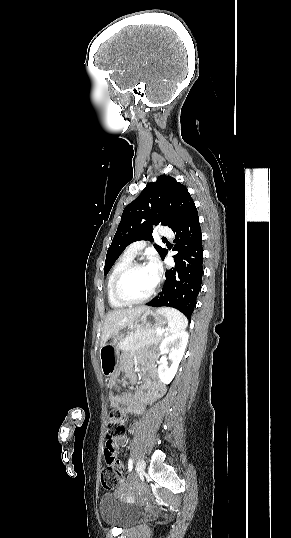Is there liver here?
Segmentation results:
<instances>
[{
    "label": "liver",
    "instance_id": "liver-1",
    "mask_svg": "<svg viewBox=\"0 0 291 538\" xmlns=\"http://www.w3.org/2000/svg\"><path fill=\"white\" fill-rule=\"evenodd\" d=\"M148 309L149 307L147 306H139L109 311L103 323L100 346H104L109 338L120 330L126 327L130 328L141 314Z\"/></svg>",
    "mask_w": 291,
    "mask_h": 538
}]
</instances>
